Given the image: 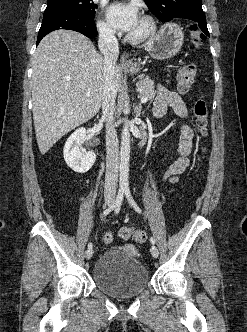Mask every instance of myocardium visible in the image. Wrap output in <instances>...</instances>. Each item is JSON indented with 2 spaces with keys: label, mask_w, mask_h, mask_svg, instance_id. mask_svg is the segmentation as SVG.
Masks as SVG:
<instances>
[{
  "label": "myocardium",
  "mask_w": 247,
  "mask_h": 332,
  "mask_svg": "<svg viewBox=\"0 0 247 332\" xmlns=\"http://www.w3.org/2000/svg\"><path fill=\"white\" fill-rule=\"evenodd\" d=\"M141 19L146 24V30L139 35H132V34L127 35V40L132 44L144 43L145 41L149 40L156 33L157 25H156V21L154 20V18L152 16L143 15L141 17Z\"/></svg>",
  "instance_id": "1"
}]
</instances>
